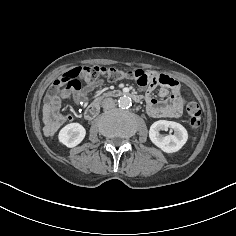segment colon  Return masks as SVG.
Wrapping results in <instances>:
<instances>
[{"instance_id":"colon-1","label":"colon","mask_w":236,"mask_h":236,"mask_svg":"<svg viewBox=\"0 0 236 236\" xmlns=\"http://www.w3.org/2000/svg\"><path fill=\"white\" fill-rule=\"evenodd\" d=\"M134 76L140 85H147L149 75L146 72L130 70H120L113 67L105 66H79L66 72L59 80H57L48 91L49 98L60 101L66 91H76L81 89L82 82L91 85L100 77H107L111 81H117L124 78ZM175 82L169 81L172 86ZM187 113L190 117V125L192 129L197 130L201 124V109L195 102L187 105Z\"/></svg>"}]
</instances>
